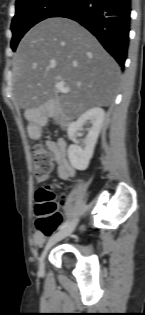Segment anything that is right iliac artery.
<instances>
[{
    "mask_svg": "<svg viewBox=\"0 0 145 315\" xmlns=\"http://www.w3.org/2000/svg\"><path fill=\"white\" fill-rule=\"evenodd\" d=\"M68 224H69V221L64 222L61 226H59L58 230L64 229L65 227L68 226Z\"/></svg>",
    "mask_w": 145,
    "mask_h": 315,
    "instance_id": "82829eb1",
    "label": "right iliac artery"
}]
</instances>
